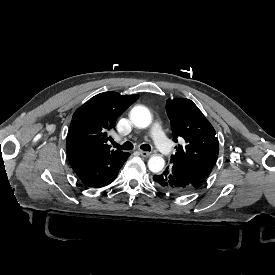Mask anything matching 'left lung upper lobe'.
<instances>
[{"label":"left lung upper lobe","instance_id":"obj_1","mask_svg":"<svg viewBox=\"0 0 275 275\" xmlns=\"http://www.w3.org/2000/svg\"><path fill=\"white\" fill-rule=\"evenodd\" d=\"M166 111L171 121L174 141L181 137L184 145L176 146L171 166L195 188L211 173L219 153L216 132L199 108L189 99H168Z\"/></svg>","mask_w":275,"mask_h":275}]
</instances>
